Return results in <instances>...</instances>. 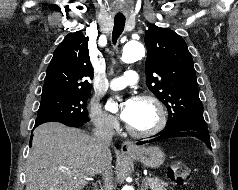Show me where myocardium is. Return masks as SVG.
<instances>
[{
	"label": "myocardium",
	"instance_id": "obj_1",
	"mask_svg": "<svg viewBox=\"0 0 238 190\" xmlns=\"http://www.w3.org/2000/svg\"><path fill=\"white\" fill-rule=\"evenodd\" d=\"M136 100L150 103L156 111L157 120L155 125L147 130H137L132 128L129 124H126V130L129 134L137 138H148L158 134L164 129L167 123V113L162 102L154 95L147 93L137 95Z\"/></svg>",
	"mask_w": 238,
	"mask_h": 190
}]
</instances>
